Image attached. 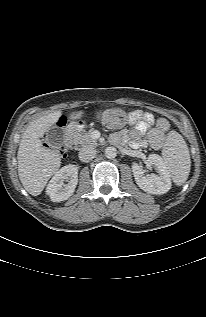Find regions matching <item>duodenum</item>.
Wrapping results in <instances>:
<instances>
[{"mask_svg":"<svg viewBox=\"0 0 206 317\" xmlns=\"http://www.w3.org/2000/svg\"><path fill=\"white\" fill-rule=\"evenodd\" d=\"M82 128V124L80 121L75 120L72 122V124L69 125V127L65 130L64 135V146L66 148H71L75 142V135L78 131H80Z\"/></svg>","mask_w":206,"mask_h":317,"instance_id":"1","label":"duodenum"}]
</instances>
